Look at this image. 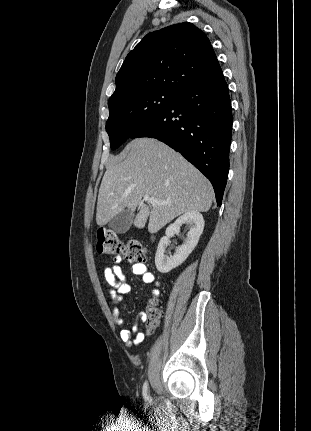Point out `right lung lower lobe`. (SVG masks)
Instances as JSON below:
<instances>
[{"label":"right lung lower lobe","instance_id":"right-lung-lower-lobe-1","mask_svg":"<svg viewBox=\"0 0 311 431\" xmlns=\"http://www.w3.org/2000/svg\"><path fill=\"white\" fill-rule=\"evenodd\" d=\"M232 108L223 73L181 92L130 138H156L180 152L212 183L221 205L229 171Z\"/></svg>","mask_w":311,"mask_h":431}]
</instances>
